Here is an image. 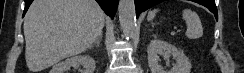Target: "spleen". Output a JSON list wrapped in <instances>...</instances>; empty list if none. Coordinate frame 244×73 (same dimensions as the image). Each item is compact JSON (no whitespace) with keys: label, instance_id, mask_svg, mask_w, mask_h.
Returning a JSON list of instances; mask_svg holds the SVG:
<instances>
[{"label":"spleen","instance_id":"spleen-1","mask_svg":"<svg viewBox=\"0 0 244 73\" xmlns=\"http://www.w3.org/2000/svg\"><path fill=\"white\" fill-rule=\"evenodd\" d=\"M158 9H154L150 11L147 20L152 21L158 12ZM182 18L185 20L187 25L186 36L189 39H198L203 35V27L201 24V20L197 13L190 9H184L182 12Z\"/></svg>","mask_w":244,"mask_h":73}]
</instances>
